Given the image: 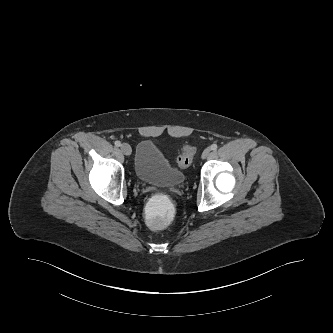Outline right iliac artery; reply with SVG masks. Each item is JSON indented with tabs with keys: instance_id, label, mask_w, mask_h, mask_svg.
<instances>
[{
	"instance_id": "82829eb1",
	"label": "right iliac artery",
	"mask_w": 333,
	"mask_h": 333,
	"mask_svg": "<svg viewBox=\"0 0 333 333\" xmlns=\"http://www.w3.org/2000/svg\"><path fill=\"white\" fill-rule=\"evenodd\" d=\"M115 146L120 147L121 146V142L120 141H115Z\"/></svg>"
}]
</instances>
